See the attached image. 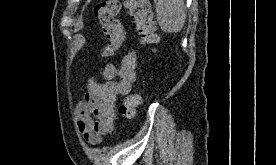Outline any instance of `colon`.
Returning <instances> with one entry per match:
<instances>
[{
	"mask_svg": "<svg viewBox=\"0 0 276 165\" xmlns=\"http://www.w3.org/2000/svg\"><path fill=\"white\" fill-rule=\"evenodd\" d=\"M122 8L127 10L134 21L140 43L153 50L159 38L148 0H103L94 9V15L106 39L103 55L113 54L124 43L125 33L118 19ZM140 103L141 95L138 92L127 95L119 107L120 115L125 119L134 118Z\"/></svg>",
	"mask_w": 276,
	"mask_h": 165,
	"instance_id": "5ec220e1",
	"label": "colon"
}]
</instances>
